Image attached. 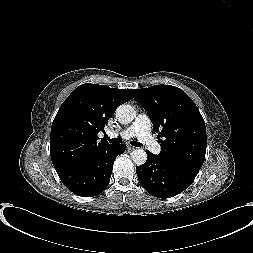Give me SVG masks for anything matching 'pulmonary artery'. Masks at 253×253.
Segmentation results:
<instances>
[{
  "label": "pulmonary artery",
  "mask_w": 253,
  "mask_h": 253,
  "mask_svg": "<svg viewBox=\"0 0 253 253\" xmlns=\"http://www.w3.org/2000/svg\"><path fill=\"white\" fill-rule=\"evenodd\" d=\"M150 120L147 115L140 114L136 120L120 133H110V137L119 136L124 139L137 137L145 147L154 154H159L161 151L160 145L153 139L150 131Z\"/></svg>",
  "instance_id": "1"
}]
</instances>
